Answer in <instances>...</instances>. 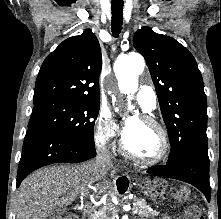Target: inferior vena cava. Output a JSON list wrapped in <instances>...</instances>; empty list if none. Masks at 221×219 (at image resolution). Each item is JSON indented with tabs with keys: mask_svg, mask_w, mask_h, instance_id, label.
Here are the masks:
<instances>
[{
	"mask_svg": "<svg viewBox=\"0 0 221 219\" xmlns=\"http://www.w3.org/2000/svg\"><path fill=\"white\" fill-rule=\"evenodd\" d=\"M95 164L101 171L108 170L112 166L111 155L107 148H101L96 156Z\"/></svg>",
	"mask_w": 221,
	"mask_h": 219,
	"instance_id": "1",
	"label": "inferior vena cava"
}]
</instances>
